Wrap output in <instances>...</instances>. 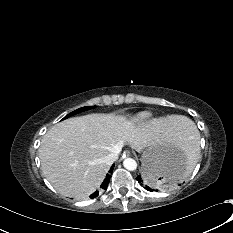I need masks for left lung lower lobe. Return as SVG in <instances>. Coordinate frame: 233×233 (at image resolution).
Here are the masks:
<instances>
[{"label":"left lung lower lobe","instance_id":"left-lung-lower-lobe-1","mask_svg":"<svg viewBox=\"0 0 233 233\" xmlns=\"http://www.w3.org/2000/svg\"><path fill=\"white\" fill-rule=\"evenodd\" d=\"M177 158H165L156 160L137 176V181L148 191H157L160 187H166L179 181L180 164ZM152 179H157L153 181Z\"/></svg>","mask_w":233,"mask_h":233}]
</instances>
